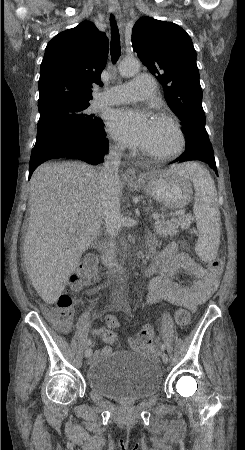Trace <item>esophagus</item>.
I'll list each match as a JSON object with an SVG mask.
<instances>
[{
    "instance_id": "esophagus-1",
    "label": "esophagus",
    "mask_w": 245,
    "mask_h": 450,
    "mask_svg": "<svg viewBox=\"0 0 245 450\" xmlns=\"http://www.w3.org/2000/svg\"><path fill=\"white\" fill-rule=\"evenodd\" d=\"M109 10L115 14V17L118 22V26L121 28L122 27V16L119 12L118 4L117 3L110 4ZM126 175L131 180H138L140 177L139 171L133 166H130L127 168Z\"/></svg>"
}]
</instances>
